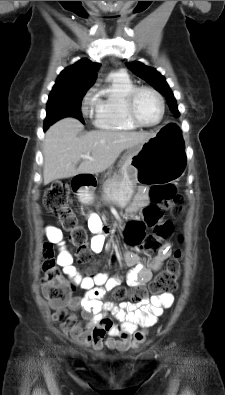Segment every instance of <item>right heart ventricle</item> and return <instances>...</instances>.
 <instances>
[{
    "label": "right heart ventricle",
    "mask_w": 225,
    "mask_h": 395,
    "mask_svg": "<svg viewBox=\"0 0 225 395\" xmlns=\"http://www.w3.org/2000/svg\"><path fill=\"white\" fill-rule=\"evenodd\" d=\"M135 87L129 76L123 72L109 74L104 84L93 97L95 126L102 130H135L125 112V98Z\"/></svg>",
    "instance_id": "e07e8e85"
}]
</instances>
